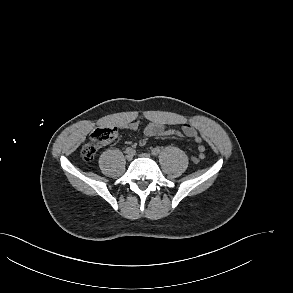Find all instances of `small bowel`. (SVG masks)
Listing matches in <instances>:
<instances>
[{
	"label": "small bowel",
	"mask_w": 293,
	"mask_h": 293,
	"mask_svg": "<svg viewBox=\"0 0 293 293\" xmlns=\"http://www.w3.org/2000/svg\"><path fill=\"white\" fill-rule=\"evenodd\" d=\"M146 119L148 123L145 127L144 133L147 137L155 136H168V137H190L193 138L196 143L199 144V151L204 152L205 148L202 143V138L197 133V130L190 124H184L181 130L169 129L167 127L168 121L166 118L161 117L155 113L149 112L146 114ZM122 127H130L132 129H137L139 123L133 121L130 123H124Z\"/></svg>",
	"instance_id": "1"
}]
</instances>
